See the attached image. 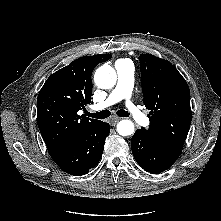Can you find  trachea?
Segmentation results:
<instances>
[{"label": "trachea", "mask_w": 221, "mask_h": 221, "mask_svg": "<svg viewBox=\"0 0 221 221\" xmlns=\"http://www.w3.org/2000/svg\"><path fill=\"white\" fill-rule=\"evenodd\" d=\"M116 114L120 117H129V113L125 110H118ZM87 116L97 118V119H105L108 118L111 115V112L109 110H103L97 113H86Z\"/></svg>", "instance_id": "1"}]
</instances>
